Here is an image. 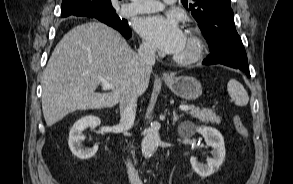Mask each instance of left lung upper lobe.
Here are the masks:
<instances>
[{
    "label": "left lung upper lobe",
    "mask_w": 293,
    "mask_h": 184,
    "mask_svg": "<svg viewBox=\"0 0 293 184\" xmlns=\"http://www.w3.org/2000/svg\"><path fill=\"white\" fill-rule=\"evenodd\" d=\"M181 1L199 23L212 54L220 53L219 45L226 36L238 34L230 0H193L192 3H188V0Z\"/></svg>",
    "instance_id": "5c2ea615"
}]
</instances>
